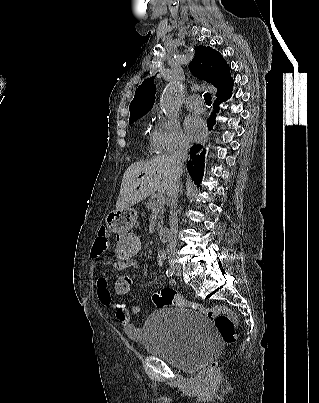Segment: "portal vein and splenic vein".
Listing matches in <instances>:
<instances>
[{"label": "portal vein and splenic vein", "mask_w": 319, "mask_h": 403, "mask_svg": "<svg viewBox=\"0 0 319 403\" xmlns=\"http://www.w3.org/2000/svg\"><path fill=\"white\" fill-rule=\"evenodd\" d=\"M163 197V196H162ZM164 200L163 199H159V204H161Z\"/></svg>", "instance_id": "obj_1"}]
</instances>
